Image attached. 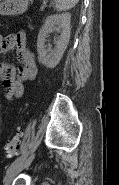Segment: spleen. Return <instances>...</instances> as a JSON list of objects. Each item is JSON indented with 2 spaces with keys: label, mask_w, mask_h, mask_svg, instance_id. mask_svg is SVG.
Instances as JSON below:
<instances>
[{
  "label": "spleen",
  "mask_w": 119,
  "mask_h": 185,
  "mask_svg": "<svg viewBox=\"0 0 119 185\" xmlns=\"http://www.w3.org/2000/svg\"><path fill=\"white\" fill-rule=\"evenodd\" d=\"M56 9L59 11H66L74 7L79 0H55Z\"/></svg>",
  "instance_id": "3e777b00"
}]
</instances>
